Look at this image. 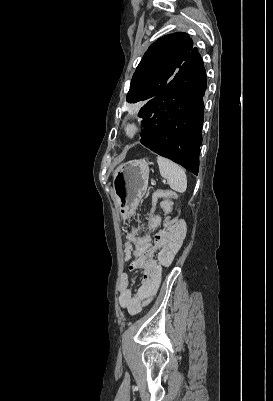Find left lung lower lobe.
I'll use <instances>...</instances> for the list:
<instances>
[{
    "label": "left lung lower lobe",
    "instance_id": "1",
    "mask_svg": "<svg viewBox=\"0 0 273 401\" xmlns=\"http://www.w3.org/2000/svg\"><path fill=\"white\" fill-rule=\"evenodd\" d=\"M206 88L203 60L197 48H193L168 84L138 115L145 126L140 142L196 175Z\"/></svg>",
    "mask_w": 273,
    "mask_h": 401
}]
</instances>
